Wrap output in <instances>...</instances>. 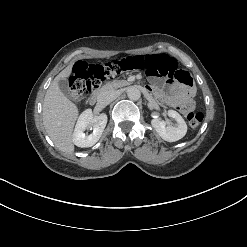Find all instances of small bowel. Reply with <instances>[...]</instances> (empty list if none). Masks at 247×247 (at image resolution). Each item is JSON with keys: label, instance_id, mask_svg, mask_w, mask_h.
<instances>
[{"label": "small bowel", "instance_id": "small-bowel-1", "mask_svg": "<svg viewBox=\"0 0 247 247\" xmlns=\"http://www.w3.org/2000/svg\"><path fill=\"white\" fill-rule=\"evenodd\" d=\"M144 72L152 84L148 87V91L156 97H159L164 105L177 109L185 116L194 109V91L191 87L169 82L168 88L166 89L165 86L162 85L163 81L173 78L169 77L168 72L163 68H147Z\"/></svg>", "mask_w": 247, "mask_h": 247}]
</instances>
